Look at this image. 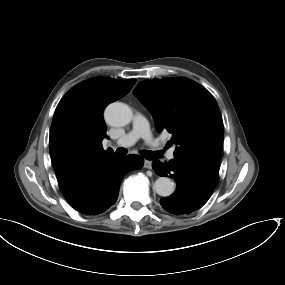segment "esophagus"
Wrapping results in <instances>:
<instances>
[{"label": "esophagus", "mask_w": 285, "mask_h": 285, "mask_svg": "<svg viewBox=\"0 0 285 285\" xmlns=\"http://www.w3.org/2000/svg\"><path fill=\"white\" fill-rule=\"evenodd\" d=\"M144 168L151 169L152 168V162L149 160L144 161Z\"/></svg>", "instance_id": "esophagus-1"}]
</instances>
